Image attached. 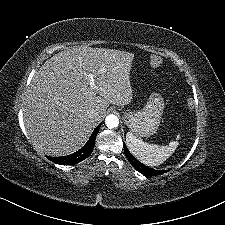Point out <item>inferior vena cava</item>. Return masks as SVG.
<instances>
[{"label":"inferior vena cava","instance_id":"602c4592","mask_svg":"<svg viewBox=\"0 0 225 225\" xmlns=\"http://www.w3.org/2000/svg\"><path fill=\"white\" fill-rule=\"evenodd\" d=\"M88 114H89L90 117L95 118V117L98 116L99 113L96 112V111H90Z\"/></svg>","mask_w":225,"mask_h":225}]
</instances>
